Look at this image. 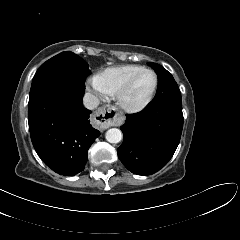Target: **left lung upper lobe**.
<instances>
[{
  "label": "left lung upper lobe",
  "mask_w": 240,
  "mask_h": 240,
  "mask_svg": "<svg viewBox=\"0 0 240 240\" xmlns=\"http://www.w3.org/2000/svg\"><path fill=\"white\" fill-rule=\"evenodd\" d=\"M149 64L153 67L158 75V88L154 100L164 97L181 98L178 85L173 76L163 66L152 62Z\"/></svg>",
  "instance_id": "1"
}]
</instances>
